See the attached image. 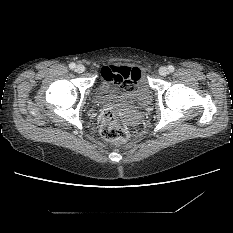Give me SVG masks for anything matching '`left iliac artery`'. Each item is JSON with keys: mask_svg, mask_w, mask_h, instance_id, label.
<instances>
[{"mask_svg": "<svg viewBox=\"0 0 233 233\" xmlns=\"http://www.w3.org/2000/svg\"><path fill=\"white\" fill-rule=\"evenodd\" d=\"M174 69H175L174 66H172V65H169V66H168V70H169L170 72H173Z\"/></svg>", "mask_w": 233, "mask_h": 233, "instance_id": "left-iliac-artery-1", "label": "left iliac artery"}]
</instances>
